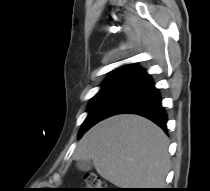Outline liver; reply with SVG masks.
Segmentation results:
<instances>
[{
  "label": "liver",
  "instance_id": "obj_1",
  "mask_svg": "<svg viewBox=\"0 0 210 191\" xmlns=\"http://www.w3.org/2000/svg\"><path fill=\"white\" fill-rule=\"evenodd\" d=\"M168 145L157 125L123 114L92 127L78 143L74 158L92 160L98 174L119 188H162L169 171Z\"/></svg>",
  "mask_w": 210,
  "mask_h": 191
}]
</instances>
